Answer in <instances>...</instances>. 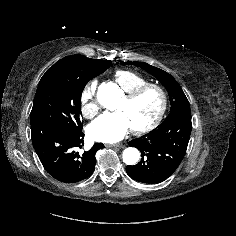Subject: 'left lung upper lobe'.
Masks as SVG:
<instances>
[{
    "label": "left lung upper lobe",
    "mask_w": 236,
    "mask_h": 236,
    "mask_svg": "<svg viewBox=\"0 0 236 236\" xmlns=\"http://www.w3.org/2000/svg\"><path fill=\"white\" fill-rule=\"evenodd\" d=\"M125 64L136 65L146 70L165 86L171 102V110L167 118L181 111H190L189 102L181 86L169 73L144 62H125Z\"/></svg>",
    "instance_id": "5c2ea615"
}]
</instances>
